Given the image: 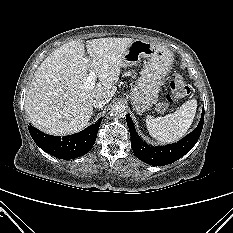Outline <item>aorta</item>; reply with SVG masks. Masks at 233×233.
<instances>
[{
    "mask_svg": "<svg viewBox=\"0 0 233 233\" xmlns=\"http://www.w3.org/2000/svg\"><path fill=\"white\" fill-rule=\"evenodd\" d=\"M127 114L126 107L122 104H116L110 108V116L115 118L125 117Z\"/></svg>",
    "mask_w": 233,
    "mask_h": 233,
    "instance_id": "1",
    "label": "aorta"
}]
</instances>
